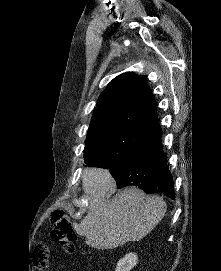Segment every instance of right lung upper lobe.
<instances>
[{
	"label": "right lung upper lobe",
	"instance_id": "right-lung-upper-lobe-1",
	"mask_svg": "<svg viewBox=\"0 0 221 271\" xmlns=\"http://www.w3.org/2000/svg\"><path fill=\"white\" fill-rule=\"evenodd\" d=\"M88 133L104 128L149 131L159 119L145 76L124 73L111 81L98 98Z\"/></svg>",
	"mask_w": 221,
	"mask_h": 271
}]
</instances>
